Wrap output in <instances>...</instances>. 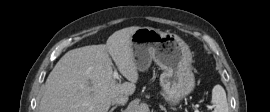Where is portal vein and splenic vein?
Instances as JSON below:
<instances>
[{"instance_id":"obj_1","label":"portal vein and splenic vein","mask_w":270,"mask_h":112,"mask_svg":"<svg viewBox=\"0 0 270 112\" xmlns=\"http://www.w3.org/2000/svg\"><path fill=\"white\" fill-rule=\"evenodd\" d=\"M113 77H114V79H119V74H118V72H117L116 70L113 72ZM194 107L196 108L195 112H199V111L197 110L198 105L196 104V105H194ZM206 107H207V108H210L209 105H207Z\"/></svg>"}]
</instances>
